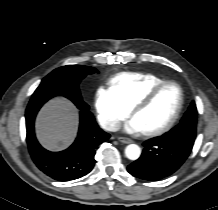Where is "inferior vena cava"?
I'll list each match as a JSON object with an SVG mask.
<instances>
[{"label":"inferior vena cava","mask_w":218,"mask_h":210,"mask_svg":"<svg viewBox=\"0 0 218 210\" xmlns=\"http://www.w3.org/2000/svg\"><path fill=\"white\" fill-rule=\"evenodd\" d=\"M101 127L106 131L116 132L120 129L121 125L118 121L105 120L101 123Z\"/></svg>","instance_id":"obj_1"}]
</instances>
